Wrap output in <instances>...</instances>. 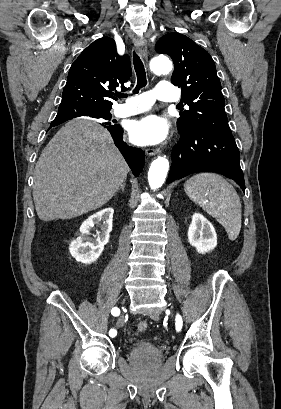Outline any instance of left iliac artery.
<instances>
[{
  "mask_svg": "<svg viewBox=\"0 0 281 409\" xmlns=\"http://www.w3.org/2000/svg\"><path fill=\"white\" fill-rule=\"evenodd\" d=\"M182 327V318L180 315L176 316V330L179 331L181 330Z\"/></svg>",
  "mask_w": 281,
  "mask_h": 409,
  "instance_id": "44dca946",
  "label": "left iliac artery"
}]
</instances>
